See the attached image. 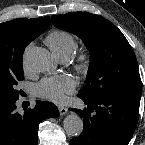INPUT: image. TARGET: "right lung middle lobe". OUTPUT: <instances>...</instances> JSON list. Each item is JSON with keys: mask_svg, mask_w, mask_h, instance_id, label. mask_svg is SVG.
I'll list each match as a JSON object with an SVG mask.
<instances>
[{"mask_svg": "<svg viewBox=\"0 0 145 145\" xmlns=\"http://www.w3.org/2000/svg\"><path fill=\"white\" fill-rule=\"evenodd\" d=\"M24 78L22 63L17 66L0 71V100L14 101L19 98L16 85Z\"/></svg>", "mask_w": 145, "mask_h": 145, "instance_id": "1", "label": "right lung middle lobe"}]
</instances>
